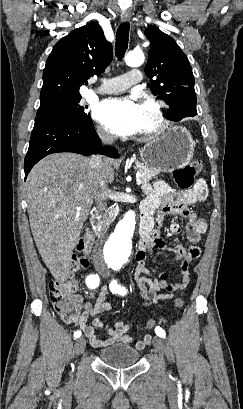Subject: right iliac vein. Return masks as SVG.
Here are the masks:
<instances>
[{"label": "right iliac vein", "mask_w": 243, "mask_h": 409, "mask_svg": "<svg viewBox=\"0 0 243 409\" xmlns=\"http://www.w3.org/2000/svg\"><path fill=\"white\" fill-rule=\"evenodd\" d=\"M86 347V342L84 338H79L76 342H75V353L77 355L82 354L85 350Z\"/></svg>", "instance_id": "right-iliac-vein-1"}]
</instances>
